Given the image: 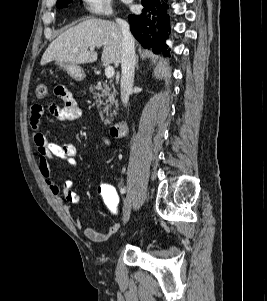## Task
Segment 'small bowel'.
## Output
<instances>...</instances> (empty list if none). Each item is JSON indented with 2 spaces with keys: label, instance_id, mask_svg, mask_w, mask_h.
Listing matches in <instances>:
<instances>
[{
  "label": "small bowel",
  "instance_id": "1",
  "mask_svg": "<svg viewBox=\"0 0 267 301\" xmlns=\"http://www.w3.org/2000/svg\"><path fill=\"white\" fill-rule=\"evenodd\" d=\"M54 95L62 102L61 105L51 103L48 106L49 113L60 121H73L81 117V109L73 97L72 92L63 85H57L54 88ZM44 107L40 104H34L29 111V124L32 128V138L38 152V168L40 174L48 186L51 193L60 197L62 193V207L69 213L71 205L76 204L80 200L79 193L74 189L75 175L72 173L69 178L63 183L62 189L53 180L50 172V160L61 159L66 161L70 166H75L76 147L72 143L58 144L47 139L41 132V119L44 114ZM103 143L106 147L111 146V140L107 137L103 138ZM75 226L82 230L84 236L92 242L102 243L107 241L114 235L118 228V224L112 225L104 232H99L76 218Z\"/></svg>",
  "mask_w": 267,
  "mask_h": 301
}]
</instances>
